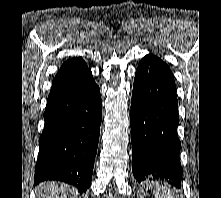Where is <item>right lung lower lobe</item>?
<instances>
[{"label": "right lung lower lobe", "instance_id": "1", "mask_svg": "<svg viewBox=\"0 0 221 198\" xmlns=\"http://www.w3.org/2000/svg\"><path fill=\"white\" fill-rule=\"evenodd\" d=\"M101 118L100 90L90 70L52 90L39 138L35 184L56 180L75 186L80 193L86 191L91 184Z\"/></svg>", "mask_w": 221, "mask_h": 198}]
</instances>
